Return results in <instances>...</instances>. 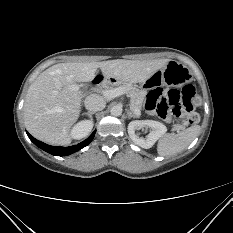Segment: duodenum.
Masks as SVG:
<instances>
[{
  "mask_svg": "<svg viewBox=\"0 0 233 233\" xmlns=\"http://www.w3.org/2000/svg\"><path fill=\"white\" fill-rule=\"evenodd\" d=\"M111 81H113V79L111 77L104 76L103 70H98L95 72L94 83L100 84V83H107Z\"/></svg>",
  "mask_w": 233,
  "mask_h": 233,
  "instance_id": "1",
  "label": "duodenum"
}]
</instances>
